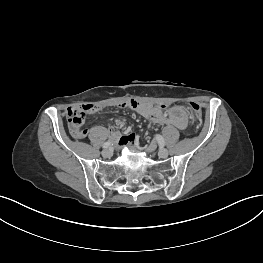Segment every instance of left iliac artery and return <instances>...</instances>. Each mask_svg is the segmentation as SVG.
Here are the masks:
<instances>
[{
	"instance_id": "left-iliac-artery-1",
	"label": "left iliac artery",
	"mask_w": 263,
	"mask_h": 263,
	"mask_svg": "<svg viewBox=\"0 0 263 263\" xmlns=\"http://www.w3.org/2000/svg\"><path fill=\"white\" fill-rule=\"evenodd\" d=\"M156 139H157L159 146L163 147L165 145L164 138L161 135H157Z\"/></svg>"
}]
</instances>
